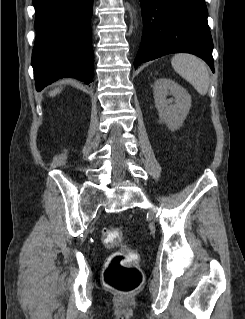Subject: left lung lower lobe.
I'll return each instance as SVG.
<instances>
[{"label":"left lung lower lobe","instance_id":"0a47b994","mask_svg":"<svg viewBox=\"0 0 245 319\" xmlns=\"http://www.w3.org/2000/svg\"><path fill=\"white\" fill-rule=\"evenodd\" d=\"M140 4L144 29L135 69L169 53L188 52L214 72L205 0H140Z\"/></svg>","mask_w":245,"mask_h":319}]
</instances>
